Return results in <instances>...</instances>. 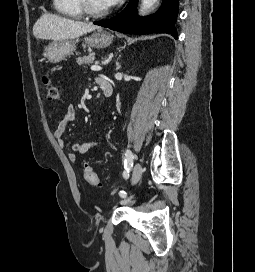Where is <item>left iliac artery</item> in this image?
<instances>
[{
	"instance_id": "obj_1",
	"label": "left iliac artery",
	"mask_w": 255,
	"mask_h": 272,
	"mask_svg": "<svg viewBox=\"0 0 255 272\" xmlns=\"http://www.w3.org/2000/svg\"><path fill=\"white\" fill-rule=\"evenodd\" d=\"M133 153L131 150H126V153H125V171L123 173V176L125 179H128L129 178V170L131 169V167L133 166ZM120 196L121 197H126V193L124 191H120Z\"/></svg>"
}]
</instances>
